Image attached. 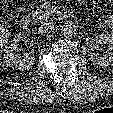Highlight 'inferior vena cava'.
<instances>
[{
  "label": "inferior vena cava",
  "mask_w": 113,
  "mask_h": 113,
  "mask_svg": "<svg viewBox=\"0 0 113 113\" xmlns=\"http://www.w3.org/2000/svg\"><path fill=\"white\" fill-rule=\"evenodd\" d=\"M54 28V23L52 22H44L41 23L40 27L38 28L39 33H47Z\"/></svg>",
  "instance_id": "obj_1"
}]
</instances>
